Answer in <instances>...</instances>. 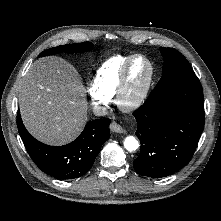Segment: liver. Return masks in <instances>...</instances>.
Returning <instances> with one entry per match:
<instances>
[{
    "instance_id": "1",
    "label": "liver",
    "mask_w": 221,
    "mask_h": 221,
    "mask_svg": "<svg viewBox=\"0 0 221 221\" xmlns=\"http://www.w3.org/2000/svg\"><path fill=\"white\" fill-rule=\"evenodd\" d=\"M85 87L77 70L59 57L33 63L21 82L19 106L27 130L49 145L79 136L88 118Z\"/></svg>"
}]
</instances>
